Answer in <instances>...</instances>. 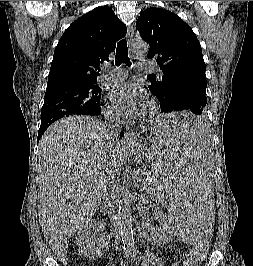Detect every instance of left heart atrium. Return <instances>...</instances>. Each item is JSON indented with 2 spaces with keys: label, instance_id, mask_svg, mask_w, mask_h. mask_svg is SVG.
<instances>
[{
  "label": "left heart atrium",
  "instance_id": "left-heart-atrium-1",
  "mask_svg": "<svg viewBox=\"0 0 253 266\" xmlns=\"http://www.w3.org/2000/svg\"><path fill=\"white\" fill-rule=\"evenodd\" d=\"M111 98L116 107L130 118L141 116L148 103L145 92L130 82L115 85L111 91Z\"/></svg>",
  "mask_w": 253,
  "mask_h": 266
}]
</instances>
